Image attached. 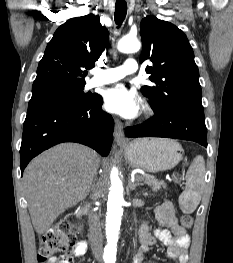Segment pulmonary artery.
<instances>
[{"label":"pulmonary artery","instance_id":"pulmonary-artery-1","mask_svg":"<svg viewBox=\"0 0 233 263\" xmlns=\"http://www.w3.org/2000/svg\"><path fill=\"white\" fill-rule=\"evenodd\" d=\"M137 70V61L133 58H127L122 66L96 70L94 77L88 82V87L93 88L116 82L126 75L137 72Z\"/></svg>","mask_w":233,"mask_h":263}]
</instances>
